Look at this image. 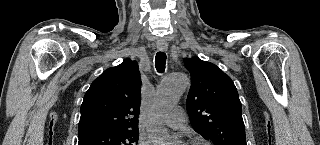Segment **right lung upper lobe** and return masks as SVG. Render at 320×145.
<instances>
[{
    "instance_id": "cb5924a9",
    "label": "right lung upper lobe",
    "mask_w": 320,
    "mask_h": 145,
    "mask_svg": "<svg viewBox=\"0 0 320 145\" xmlns=\"http://www.w3.org/2000/svg\"><path fill=\"white\" fill-rule=\"evenodd\" d=\"M141 84L136 61L126 59L104 71L84 96L79 136L97 131L138 130Z\"/></svg>"
}]
</instances>
